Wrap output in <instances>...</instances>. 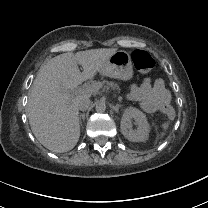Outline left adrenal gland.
Returning <instances> with one entry per match:
<instances>
[{
    "label": "left adrenal gland",
    "instance_id": "1",
    "mask_svg": "<svg viewBox=\"0 0 208 208\" xmlns=\"http://www.w3.org/2000/svg\"><path fill=\"white\" fill-rule=\"evenodd\" d=\"M110 107H111V109H113L116 112V114H118L119 108H121L122 106L121 105H116V106L110 105Z\"/></svg>",
    "mask_w": 208,
    "mask_h": 208
}]
</instances>
